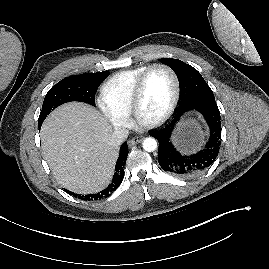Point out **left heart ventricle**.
Returning <instances> with one entry per match:
<instances>
[{"label": "left heart ventricle", "mask_w": 269, "mask_h": 269, "mask_svg": "<svg viewBox=\"0 0 269 269\" xmlns=\"http://www.w3.org/2000/svg\"><path fill=\"white\" fill-rule=\"evenodd\" d=\"M174 94V82L169 72L155 69L147 77L141 101L143 119L153 120L168 108Z\"/></svg>", "instance_id": "obj_1"}]
</instances>
